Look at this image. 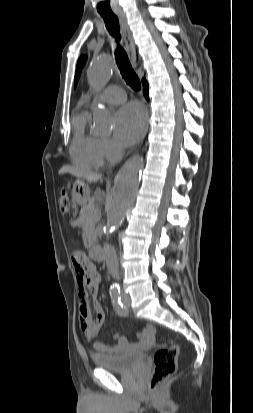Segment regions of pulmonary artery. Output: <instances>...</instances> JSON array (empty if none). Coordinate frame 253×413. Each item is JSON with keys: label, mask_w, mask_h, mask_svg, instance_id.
<instances>
[{"label": "pulmonary artery", "mask_w": 253, "mask_h": 413, "mask_svg": "<svg viewBox=\"0 0 253 413\" xmlns=\"http://www.w3.org/2000/svg\"><path fill=\"white\" fill-rule=\"evenodd\" d=\"M126 95L124 91L117 86H110L101 94V100L109 104H119L124 102Z\"/></svg>", "instance_id": "1"}]
</instances>
